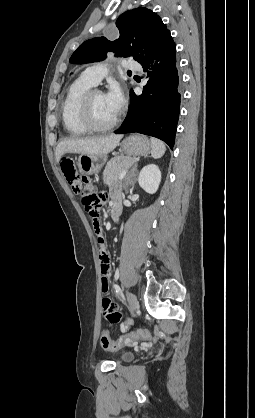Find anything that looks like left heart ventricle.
<instances>
[{
	"label": "left heart ventricle",
	"mask_w": 255,
	"mask_h": 418,
	"mask_svg": "<svg viewBox=\"0 0 255 418\" xmlns=\"http://www.w3.org/2000/svg\"><path fill=\"white\" fill-rule=\"evenodd\" d=\"M92 111L94 120L99 125H106L116 117V114L109 107L103 93H98L93 97Z\"/></svg>",
	"instance_id": "b2bd125f"
}]
</instances>
